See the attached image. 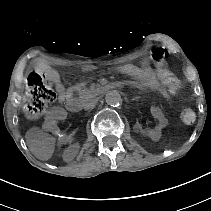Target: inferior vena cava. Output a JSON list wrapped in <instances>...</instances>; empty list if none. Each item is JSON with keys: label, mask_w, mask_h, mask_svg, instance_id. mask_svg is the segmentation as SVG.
I'll list each match as a JSON object with an SVG mask.
<instances>
[{"label": "inferior vena cava", "mask_w": 211, "mask_h": 211, "mask_svg": "<svg viewBox=\"0 0 211 211\" xmlns=\"http://www.w3.org/2000/svg\"><path fill=\"white\" fill-rule=\"evenodd\" d=\"M93 106H94V104H88L85 108H91Z\"/></svg>", "instance_id": "inferior-vena-cava-1"}]
</instances>
